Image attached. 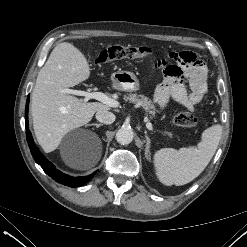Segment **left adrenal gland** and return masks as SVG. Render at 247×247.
Listing matches in <instances>:
<instances>
[{"label":"left adrenal gland","instance_id":"1","mask_svg":"<svg viewBox=\"0 0 247 247\" xmlns=\"http://www.w3.org/2000/svg\"><path fill=\"white\" fill-rule=\"evenodd\" d=\"M145 138H146L145 156L147 157V159H150L151 139L149 138L146 132H145Z\"/></svg>","mask_w":247,"mask_h":247}]
</instances>
